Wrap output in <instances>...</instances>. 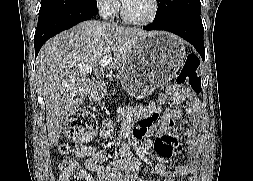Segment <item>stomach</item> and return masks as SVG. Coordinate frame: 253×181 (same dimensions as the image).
Returning a JSON list of instances; mask_svg holds the SVG:
<instances>
[{
	"label": "stomach",
	"instance_id": "obj_1",
	"mask_svg": "<svg viewBox=\"0 0 253 181\" xmlns=\"http://www.w3.org/2000/svg\"><path fill=\"white\" fill-rule=\"evenodd\" d=\"M186 57L184 44L178 37L154 32L132 47L120 68V82L131 96L144 98L171 81Z\"/></svg>",
	"mask_w": 253,
	"mask_h": 181
}]
</instances>
